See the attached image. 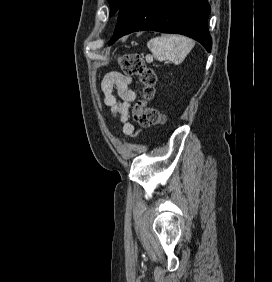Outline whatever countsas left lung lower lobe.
Listing matches in <instances>:
<instances>
[{
    "label": "left lung lower lobe",
    "mask_w": 272,
    "mask_h": 282,
    "mask_svg": "<svg viewBox=\"0 0 272 282\" xmlns=\"http://www.w3.org/2000/svg\"><path fill=\"white\" fill-rule=\"evenodd\" d=\"M210 11L207 0H125L118 10L109 45L126 34L154 30L189 36L210 52L212 42L207 29Z\"/></svg>",
    "instance_id": "obj_1"
}]
</instances>
